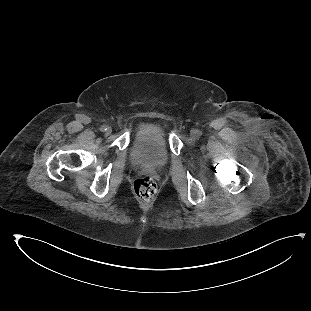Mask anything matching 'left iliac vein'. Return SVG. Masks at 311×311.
Returning <instances> with one entry per match:
<instances>
[{
	"instance_id": "left-iliac-vein-1",
	"label": "left iliac vein",
	"mask_w": 311,
	"mask_h": 311,
	"mask_svg": "<svg viewBox=\"0 0 311 311\" xmlns=\"http://www.w3.org/2000/svg\"><path fill=\"white\" fill-rule=\"evenodd\" d=\"M196 136H197V131H196V130H191V132H190V137H191L192 139H195Z\"/></svg>"
}]
</instances>
